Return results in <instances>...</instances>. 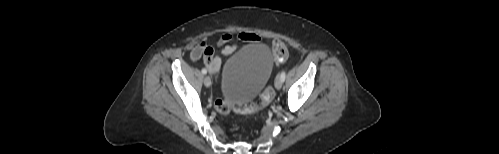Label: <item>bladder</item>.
<instances>
[{
	"label": "bladder",
	"instance_id": "1",
	"mask_svg": "<svg viewBox=\"0 0 499 154\" xmlns=\"http://www.w3.org/2000/svg\"><path fill=\"white\" fill-rule=\"evenodd\" d=\"M273 65L270 48L264 43L247 45L232 54L220 76L223 99L229 103L255 99L270 80Z\"/></svg>",
	"mask_w": 499,
	"mask_h": 154
}]
</instances>
